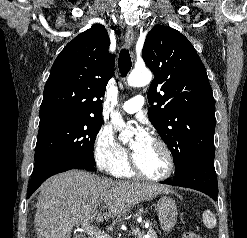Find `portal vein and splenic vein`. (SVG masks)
Segmentation results:
<instances>
[{
	"instance_id": "portal-vein-and-splenic-vein-1",
	"label": "portal vein and splenic vein",
	"mask_w": 247,
	"mask_h": 238,
	"mask_svg": "<svg viewBox=\"0 0 247 238\" xmlns=\"http://www.w3.org/2000/svg\"><path fill=\"white\" fill-rule=\"evenodd\" d=\"M81 229L84 232L88 233L89 235L94 236L95 238H110L109 235H107L106 233L91 226L89 220H85L82 222ZM139 231H140V228H136L131 232V234L136 235Z\"/></svg>"
}]
</instances>
